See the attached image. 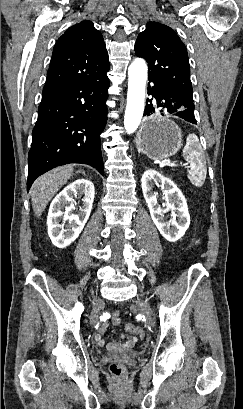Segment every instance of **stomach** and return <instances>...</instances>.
Returning a JSON list of instances; mask_svg holds the SVG:
<instances>
[{
    "instance_id": "1",
    "label": "stomach",
    "mask_w": 243,
    "mask_h": 409,
    "mask_svg": "<svg viewBox=\"0 0 243 409\" xmlns=\"http://www.w3.org/2000/svg\"><path fill=\"white\" fill-rule=\"evenodd\" d=\"M139 152L153 160H162L177 153L182 146V133L178 125L163 116L147 119L135 139Z\"/></svg>"
}]
</instances>
